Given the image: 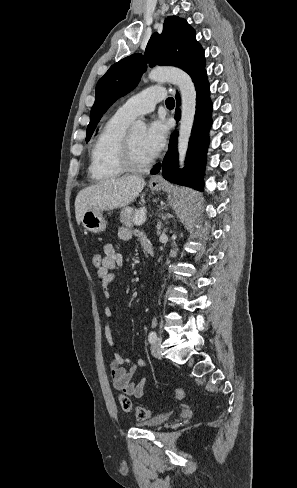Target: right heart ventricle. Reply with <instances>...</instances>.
Wrapping results in <instances>:
<instances>
[{
	"label": "right heart ventricle",
	"instance_id": "right-heart-ventricle-1",
	"mask_svg": "<svg viewBox=\"0 0 297 488\" xmlns=\"http://www.w3.org/2000/svg\"><path fill=\"white\" fill-rule=\"evenodd\" d=\"M130 120L114 114L99 131L90 152L89 173L95 181H111L125 173L120 154Z\"/></svg>",
	"mask_w": 297,
	"mask_h": 488
}]
</instances>
